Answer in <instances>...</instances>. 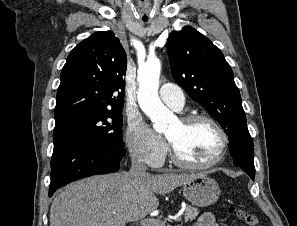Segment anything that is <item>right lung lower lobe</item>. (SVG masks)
Wrapping results in <instances>:
<instances>
[{
    "label": "right lung lower lobe",
    "instance_id": "98d812e1",
    "mask_svg": "<svg viewBox=\"0 0 297 226\" xmlns=\"http://www.w3.org/2000/svg\"><path fill=\"white\" fill-rule=\"evenodd\" d=\"M53 141L49 196L57 188L80 178L117 171L125 156L124 148L85 137L64 135Z\"/></svg>",
    "mask_w": 297,
    "mask_h": 226
}]
</instances>
